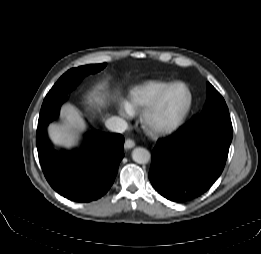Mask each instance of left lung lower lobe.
Here are the masks:
<instances>
[{
	"mask_svg": "<svg viewBox=\"0 0 261 254\" xmlns=\"http://www.w3.org/2000/svg\"><path fill=\"white\" fill-rule=\"evenodd\" d=\"M231 122L187 124L153 149L149 179L174 202L203 195L221 175L232 141Z\"/></svg>",
	"mask_w": 261,
	"mask_h": 254,
	"instance_id": "0a47b994",
	"label": "left lung lower lobe"
}]
</instances>
